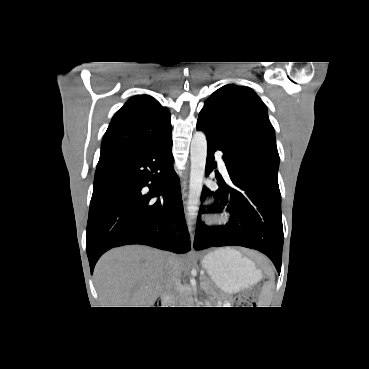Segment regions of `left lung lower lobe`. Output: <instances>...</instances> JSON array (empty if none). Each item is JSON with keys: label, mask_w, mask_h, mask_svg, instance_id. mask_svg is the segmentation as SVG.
Here are the masks:
<instances>
[{"label": "left lung lower lobe", "mask_w": 369, "mask_h": 369, "mask_svg": "<svg viewBox=\"0 0 369 369\" xmlns=\"http://www.w3.org/2000/svg\"><path fill=\"white\" fill-rule=\"evenodd\" d=\"M197 129L204 131L208 142L206 175L212 171L214 152L221 150L230 176L228 183L217 178V191L204 187L201 198L215 196L219 201L214 204V211L222 212L225 208L231 218L226 225L216 227L206 226L198 217L194 248L202 250L236 245L256 249L272 260L280 274L284 236L279 186L254 174L243 177L240 168L247 159L226 149L221 140L199 121ZM208 209L213 207L209 206Z\"/></svg>", "instance_id": "left-lung-lower-lobe-1"}]
</instances>
